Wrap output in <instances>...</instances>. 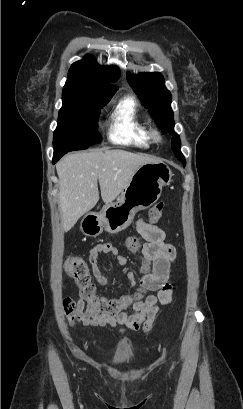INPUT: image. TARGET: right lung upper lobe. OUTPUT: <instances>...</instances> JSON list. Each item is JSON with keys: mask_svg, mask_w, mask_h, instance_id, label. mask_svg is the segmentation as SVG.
<instances>
[{"mask_svg": "<svg viewBox=\"0 0 243 409\" xmlns=\"http://www.w3.org/2000/svg\"><path fill=\"white\" fill-rule=\"evenodd\" d=\"M120 77L115 66H100L91 55L72 64L62 98L105 99L112 97L118 87L111 85Z\"/></svg>", "mask_w": 243, "mask_h": 409, "instance_id": "right-lung-upper-lobe-1", "label": "right lung upper lobe"}]
</instances>
